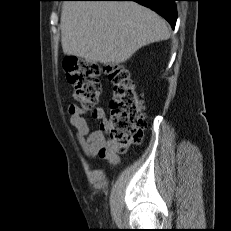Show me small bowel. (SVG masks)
Masks as SVG:
<instances>
[{
	"mask_svg": "<svg viewBox=\"0 0 231 231\" xmlns=\"http://www.w3.org/2000/svg\"><path fill=\"white\" fill-rule=\"evenodd\" d=\"M86 110L77 105L69 107L70 123L76 130V138L83 152L89 157H102L108 159L112 164L119 161L115 148L106 139V132L110 128V123L105 117L104 111L100 108L93 109L91 115L100 121L99 128L92 131L85 118Z\"/></svg>",
	"mask_w": 231,
	"mask_h": 231,
	"instance_id": "1",
	"label": "small bowel"
}]
</instances>
